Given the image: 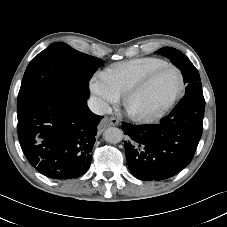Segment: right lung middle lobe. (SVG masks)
<instances>
[{"instance_id": "right-lung-middle-lobe-1", "label": "right lung middle lobe", "mask_w": 227, "mask_h": 227, "mask_svg": "<svg viewBox=\"0 0 227 227\" xmlns=\"http://www.w3.org/2000/svg\"><path fill=\"white\" fill-rule=\"evenodd\" d=\"M99 58L58 42L29 63L18 94L17 106L45 92H63L89 98V80L101 66Z\"/></svg>"}]
</instances>
